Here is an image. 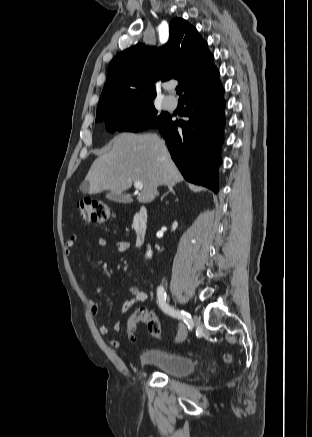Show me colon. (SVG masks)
I'll use <instances>...</instances> for the list:
<instances>
[{"label":"colon","instance_id":"obj_1","mask_svg":"<svg viewBox=\"0 0 312 437\" xmlns=\"http://www.w3.org/2000/svg\"><path fill=\"white\" fill-rule=\"evenodd\" d=\"M76 209L79 216L88 222L104 223L113 218V212L105 202L90 197L79 200ZM139 323L146 324L152 336H163L157 316L145 307H138L129 314L125 323V335L130 341L135 340V330ZM225 360L229 362L230 356H226Z\"/></svg>","mask_w":312,"mask_h":437}]
</instances>
